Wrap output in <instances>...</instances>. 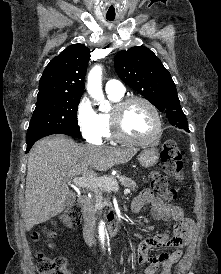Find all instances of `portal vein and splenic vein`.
Segmentation results:
<instances>
[{"instance_id": "obj_1", "label": "portal vein and splenic vein", "mask_w": 221, "mask_h": 274, "mask_svg": "<svg viewBox=\"0 0 221 274\" xmlns=\"http://www.w3.org/2000/svg\"><path fill=\"white\" fill-rule=\"evenodd\" d=\"M72 183L81 188H106L109 190L117 191L119 189L116 182L111 178H90V177H74ZM130 193L129 189L124 190V194L127 195Z\"/></svg>"}]
</instances>
